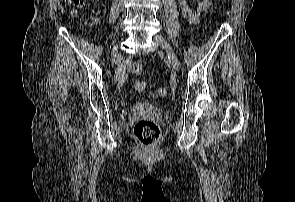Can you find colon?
<instances>
[{
  "instance_id": "colon-1",
  "label": "colon",
  "mask_w": 295,
  "mask_h": 202,
  "mask_svg": "<svg viewBox=\"0 0 295 202\" xmlns=\"http://www.w3.org/2000/svg\"><path fill=\"white\" fill-rule=\"evenodd\" d=\"M73 8V14L83 7L86 0H67ZM130 71L133 74H140L143 71V64L141 62H131L129 64ZM147 87V83L143 80H138L135 83V89L139 92L144 91ZM157 93L161 97H165L168 93L167 89L160 87ZM133 133L136 139L145 146H151L157 142L160 136V128L157 122L151 119H141L136 122L133 128Z\"/></svg>"
}]
</instances>
